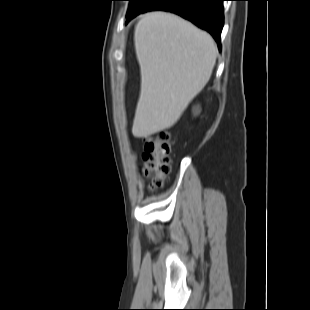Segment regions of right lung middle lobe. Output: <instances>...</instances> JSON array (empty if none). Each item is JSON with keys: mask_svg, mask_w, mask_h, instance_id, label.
<instances>
[{"mask_svg": "<svg viewBox=\"0 0 310 310\" xmlns=\"http://www.w3.org/2000/svg\"><path fill=\"white\" fill-rule=\"evenodd\" d=\"M131 1L127 16L140 13L158 0H129Z\"/></svg>", "mask_w": 310, "mask_h": 310, "instance_id": "dd1d6c3e", "label": "right lung middle lobe"}]
</instances>
